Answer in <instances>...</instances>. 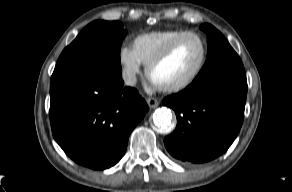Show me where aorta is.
<instances>
[{
    "mask_svg": "<svg viewBox=\"0 0 292 192\" xmlns=\"http://www.w3.org/2000/svg\"><path fill=\"white\" fill-rule=\"evenodd\" d=\"M172 112L167 108H159L153 114V122L160 133H169L172 130Z\"/></svg>",
    "mask_w": 292,
    "mask_h": 192,
    "instance_id": "obj_1",
    "label": "aorta"
}]
</instances>
